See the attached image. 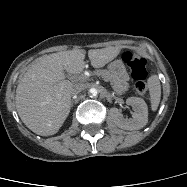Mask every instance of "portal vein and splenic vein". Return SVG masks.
<instances>
[{"mask_svg":"<svg viewBox=\"0 0 187 187\" xmlns=\"http://www.w3.org/2000/svg\"><path fill=\"white\" fill-rule=\"evenodd\" d=\"M103 78V77H102ZM104 79V81H106V82H108V80L106 79V78H103Z\"/></svg>","mask_w":187,"mask_h":187,"instance_id":"1","label":"portal vein and splenic vein"}]
</instances>
